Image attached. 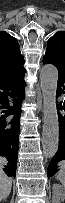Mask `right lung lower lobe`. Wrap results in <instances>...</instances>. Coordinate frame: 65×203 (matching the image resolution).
<instances>
[{
  "instance_id": "obj_1",
  "label": "right lung lower lobe",
  "mask_w": 65,
  "mask_h": 203,
  "mask_svg": "<svg viewBox=\"0 0 65 203\" xmlns=\"http://www.w3.org/2000/svg\"><path fill=\"white\" fill-rule=\"evenodd\" d=\"M24 75L0 79V156L8 163L3 169L8 176H16L21 104L25 96Z\"/></svg>"
}]
</instances>
